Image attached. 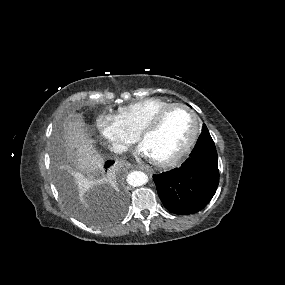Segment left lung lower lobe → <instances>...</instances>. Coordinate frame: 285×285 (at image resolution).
<instances>
[{
  "instance_id": "0a47b994",
  "label": "left lung lower lobe",
  "mask_w": 285,
  "mask_h": 285,
  "mask_svg": "<svg viewBox=\"0 0 285 285\" xmlns=\"http://www.w3.org/2000/svg\"><path fill=\"white\" fill-rule=\"evenodd\" d=\"M158 195L170 212L196 213L214 196L219 183L218 156L209 131H203L179 168L154 175Z\"/></svg>"
}]
</instances>
